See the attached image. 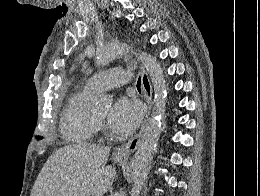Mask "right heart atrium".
<instances>
[{
  "mask_svg": "<svg viewBox=\"0 0 260 196\" xmlns=\"http://www.w3.org/2000/svg\"><path fill=\"white\" fill-rule=\"evenodd\" d=\"M55 192H87V190H55Z\"/></svg>",
  "mask_w": 260,
  "mask_h": 196,
  "instance_id": "d8ad5b80",
  "label": "right heart atrium"
}]
</instances>
